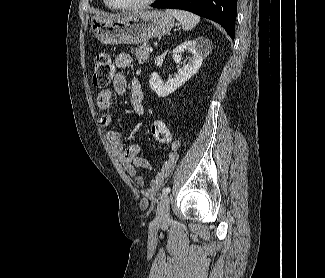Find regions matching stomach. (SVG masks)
Instances as JSON below:
<instances>
[{
	"label": "stomach",
	"instance_id": "0dacf381",
	"mask_svg": "<svg viewBox=\"0 0 325 278\" xmlns=\"http://www.w3.org/2000/svg\"><path fill=\"white\" fill-rule=\"evenodd\" d=\"M173 16L160 10H140L124 16H94L91 29L102 44H143L171 31Z\"/></svg>",
	"mask_w": 325,
	"mask_h": 278
}]
</instances>
